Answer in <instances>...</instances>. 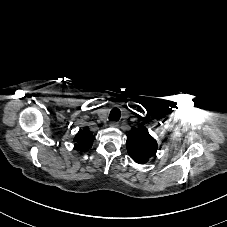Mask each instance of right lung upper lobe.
I'll return each instance as SVG.
<instances>
[{
    "label": "right lung upper lobe",
    "instance_id": "obj_1",
    "mask_svg": "<svg viewBox=\"0 0 227 227\" xmlns=\"http://www.w3.org/2000/svg\"><path fill=\"white\" fill-rule=\"evenodd\" d=\"M94 135L87 128L79 130L74 138L75 148L79 151L85 152L92 146Z\"/></svg>",
    "mask_w": 227,
    "mask_h": 227
}]
</instances>
